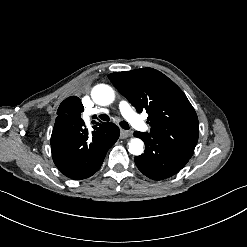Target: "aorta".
Wrapping results in <instances>:
<instances>
[{"instance_id": "obj_1", "label": "aorta", "mask_w": 247, "mask_h": 247, "mask_svg": "<svg viewBox=\"0 0 247 247\" xmlns=\"http://www.w3.org/2000/svg\"><path fill=\"white\" fill-rule=\"evenodd\" d=\"M93 101L101 106H106L114 101V90L106 84L95 86L91 93ZM128 151L133 155H141L144 151V143L139 138H132L128 143Z\"/></svg>"}]
</instances>
